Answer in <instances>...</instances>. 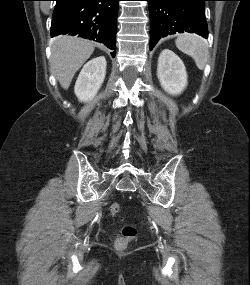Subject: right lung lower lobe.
Here are the masks:
<instances>
[{
  "mask_svg": "<svg viewBox=\"0 0 250 285\" xmlns=\"http://www.w3.org/2000/svg\"><path fill=\"white\" fill-rule=\"evenodd\" d=\"M51 36L59 34L104 43L116 49L118 2L120 0H55ZM115 56V52L112 53Z\"/></svg>",
  "mask_w": 250,
  "mask_h": 285,
  "instance_id": "98d812e1",
  "label": "right lung lower lobe"
}]
</instances>
